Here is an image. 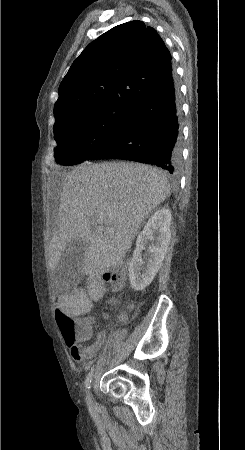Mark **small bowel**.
Returning <instances> with one entry per match:
<instances>
[{"mask_svg":"<svg viewBox=\"0 0 245 450\" xmlns=\"http://www.w3.org/2000/svg\"><path fill=\"white\" fill-rule=\"evenodd\" d=\"M59 309L73 315V312H71L69 308L68 300H64L59 304ZM80 320L87 321L89 323H93L95 321V318L93 316H87V317H78ZM106 341V332L104 330H101L98 332L95 341L92 344L85 345L84 342H77L74 341L72 344H68L70 354L72 358L79 362L84 363L85 361L90 360L96 352L104 345Z\"/></svg>","mask_w":245,"mask_h":450,"instance_id":"1","label":"small bowel"}]
</instances>
